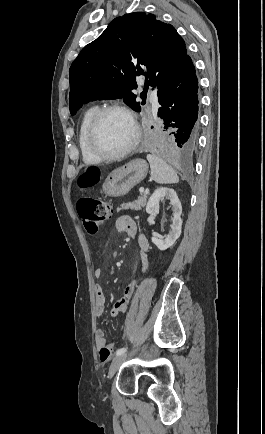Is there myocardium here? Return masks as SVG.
I'll use <instances>...</instances> for the list:
<instances>
[{"label":"myocardium","instance_id":"f54148a6","mask_svg":"<svg viewBox=\"0 0 265 434\" xmlns=\"http://www.w3.org/2000/svg\"><path fill=\"white\" fill-rule=\"evenodd\" d=\"M116 111L122 112L130 118V120L134 126L135 135H134V139H133L132 144L126 150L119 152V153H111L103 147V145L100 141L101 124H102L104 117L107 114H109L111 112H116ZM140 140H141L140 126L137 122L135 115L126 106L118 105V104L106 105V106L99 108L97 110V112L95 113V115L92 119V122H91L90 135L88 136V141H89V144H90L92 151L102 160H104V161H117V160H121V159L131 155L138 148V146L140 144Z\"/></svg>","mask_w":265,"mask_h":434}]
</instances>
